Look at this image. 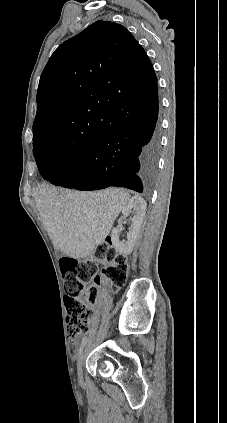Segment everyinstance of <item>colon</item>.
Masks as SVG:
<instances>
[{
  "mask_svg": "<svg viewBox=\"0 0 227 423\" xmlns=\"http://www.w3.org/2000/svg\"><path fill=\"white\" fill-rule=\"evenodd\" d=\"M100 265L102 269L99 273ZM60 266L65 286L67 334L69 340L74 342L89 328L90 306L96 299L97 285L106 279L114 289L123 286L128 264L125 256L105 241L96 248L93 257L83 261L63 258Z\"/></svg>",
  "mask_w": 227,
  "mask_h": 423,
  "instance_id": "colon-1",
  "label": "colon"
}]
</instances>
